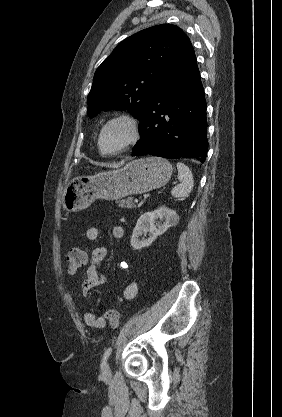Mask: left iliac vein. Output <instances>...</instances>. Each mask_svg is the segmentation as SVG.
<instances>
[{
	"mask_svg": "<svg viewBox=\"0 0 282 417\" xmlns=\"http://www.w3.org/2000/svg\"><path fill=\"white\" fill-rule=\"evenodd\" d=\"M103 374L104 375H109L110 374V365L109 363H106L104 368H103Z\"/></svg>",
	"mask_w": 282,
	"mask_h": 417,
	"instance_id": "obj_1",
	"label": "left iliac vein"
}]
</instances>
